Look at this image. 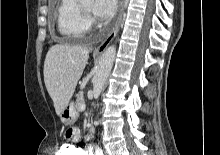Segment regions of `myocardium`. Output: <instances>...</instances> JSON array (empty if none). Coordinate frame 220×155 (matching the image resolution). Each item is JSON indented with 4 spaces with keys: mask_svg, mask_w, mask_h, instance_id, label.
<instances>
[{
    "mask_svg": "<svg viewBox=\"0 0 220 155\" xmlns=\"http://www.w3.org/2000/svg\"><path fill=\"white\" fill-rule=\"evenodd\" d=\"M79 11L84 17H88L90 15V11L85 9L81 4H78Z\"/></svg>",
    "mask_w": 220,
    "mask_h": 155,
    "instance_id": "f54148a6",
    "label": "myocardium"
}]
</instances>
